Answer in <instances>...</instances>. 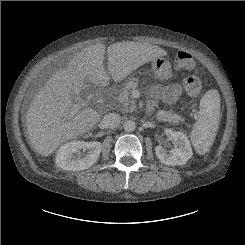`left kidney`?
Here are the masks:
<instances>
[{"label": "left kidney", "mask_w": 245, "mask_h": 245, "mask_svg": "<svg viewBox=\"0 0 245 245\" xmlns=\"http://www.w3.org/2000/svg\"><path fill=\"white\" fill-rule=\"evenodd\" d=\"M165 134L174 142L175 148L167 152L161 145L156 146L158 159L168 166L184 165L192 157L193 152L187 136L180 131L166 129Z\"/></svg>", "instance_id": "left-kidney-1"}]
</instances>
